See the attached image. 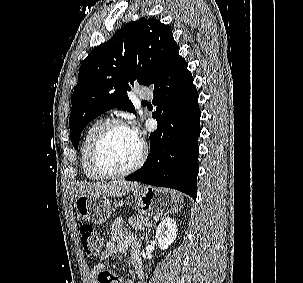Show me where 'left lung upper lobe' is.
Listing matches in <instances>:
<instances>
[{
	"instance_id": "1",
	"label": "left lung upper lobe",
	"mask_w": 303,
	"mask_h": 283,
	"mask_svg": "<svg viewBox=\"0 0 303 283\" xmlns=\"http://www.w3.org/2000/svg\"><path fill=\"white\" fill-rule=\"evenodd\" d=\"M171 28L155 18L128 23L82 62L72 95L70 136L77 149L80 134L109 109L135 112L127 91L135 83L150 86L179 56Z\"/></svg>"
}]
</instances>
